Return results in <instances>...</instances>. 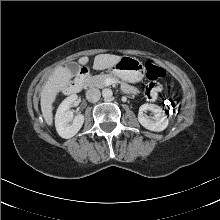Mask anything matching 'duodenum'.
<instances>
[{
  "instance_id": "obj_1",
  "label": "duodenum",
  "mask_w": 220,
  "mask_h": 220,
  "mask_svg": "<svg viewBox=\"0 0 220 220\" xmlns=\"http://www.w3.org/2000/svg\"><path fill=\"white\" fill-rule=\"evenodd\" d=\"M89 74V68L88 67H82L77 74V76L72 80L65 88V92L68 94L77 93L80 91L83 87V84L85 82V79L87 78Z\"/></svg>"
}]
</instances>
